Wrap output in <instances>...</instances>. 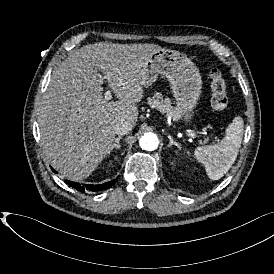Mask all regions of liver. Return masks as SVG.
Returning <instances> with one entry per match:
<instances>
[{"instance_id":"obj_1","label":"liver","mask_w":274,"mask_h":274,"mask_svg":"<svg viewBox=\"0 0 274 274\" xmlns=\"http://www.w3.org/2000/svg\"><path fill=\"white\" fill-rule=\"evenodd\" d=\"M159 49L147 43L88 44L71 51L53 72L39 105L38 124L44 153L62 177H89L112 150L115 125H135L144 68ZM98 71L117 101L103 97Z\"/></svg>"}]
</instances>
